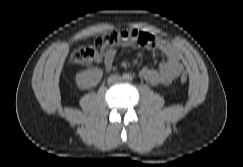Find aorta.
<instances>
[{
	"label": "aorta",
	"mask_w": 243,
	"mask_h": 167,
	"mask_svg": "<svg viewBox=\"0 0 243 167\" xmlns=\"http://www.w3.org/2000/svg\"><path fill=\"white\" fill-rule=\"evenodd\" d=\"M123 80H125V81H131L132 80V76L130 74H124L123 75Z\"/></svg>",
	"instance_id": "1"
}]
</instances>
